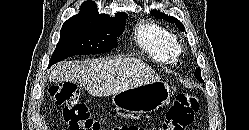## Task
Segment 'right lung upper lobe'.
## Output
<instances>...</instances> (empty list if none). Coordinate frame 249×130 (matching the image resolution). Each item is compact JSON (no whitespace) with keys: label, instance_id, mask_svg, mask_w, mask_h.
<instances>
[{"label":"right lung upper lobe","instance_id":"1","mask_svg":"<svg viewBox=\"0 0 249 130\" xmlns=\"http://www.w3.org/2000/svg\"><path fill=\"white\" fill-rule=\"evenodd\" d=\"M80 9L82 10L81 12H86V13H90V12H94L97 10V6L95 4L94 1H86L85 3L82 4V6L80 7Z\"/></svg>","mask_w":249,"mask_h":130}]
</instances>
